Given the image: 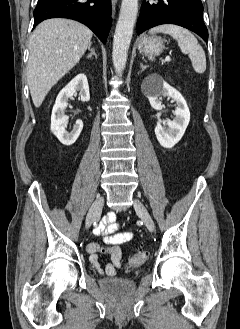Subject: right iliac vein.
Returning a JSON list of instances; mask_svg holds the SVG:
<instances>
[{"mask_svg": "<svg viewBox=\"0 0 240 329\" xmlns=\"http://www.w3.org/2000/svg\"><path fill=\"white\" fill-rule=\"evenodd\" d=\"M104 205V198L103 197H98L93 204L91 205L87 217H86V222H85V227L86 229H89L92 225V223L100 217L102 208Z\"/></svg>", "mask_w": 240, "mask_h": 329, "instance_id": "obj_1", "label": "right iliac vein"}]
</instances>
